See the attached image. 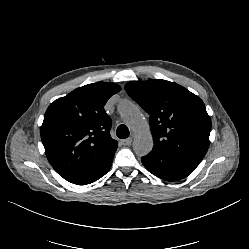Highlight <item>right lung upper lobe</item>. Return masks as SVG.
<instances>
[{"label": "right lung upper lobe", "mask_w": 249, "mask_h": 249, "mask_svg": "<svg viewBox=\"0 0 249 249\" xmlns=\"http://www.w3.org/2000/svg\"><path fill=\"white\" fill-rule=\"evenodd\" d=\"M120 90L115 83L88 84L48 107L40 129L42 143L48 161L67 181L86 175L116 151L104 106Z\"/></svg>", "instance_id": "right-lung-upper-lobe-1"}]
</instances>
